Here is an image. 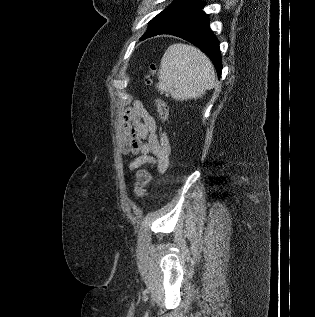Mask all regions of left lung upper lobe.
<instances>
[{
  "mask_svg": "<svg viewBox=\"0 0 315 317\" xmlns=\"http://www.w3.org/2000/svg\"><path fill=\"white\" fill-rule=\"evenodd\" d=\"M199 0H177L167 7L149 22V29L140 39L162 34L170 28L181 16H183L191 7L197 4Z\"/></svg>",
  "mask_w": 315,
  "mask_h": 317,
  "instance_id": "5c2ea615",
  "label": "left lung upper lobe"
}]
</instances>
